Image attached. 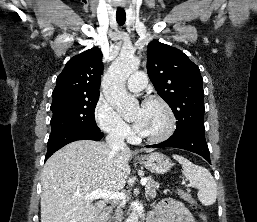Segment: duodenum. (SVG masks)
I'll return each mask as SVG.
<instances>
[{
  "instance_id": "1",
  "label": "duodenum",
  "mask_w": 257,
  "mask_h": 222,
  "mask_svg": "<svg viewBox=\"0 0 257 222\" xmlns=\"http://www.w3.org/2000/svg\"><path fill=\"white\" fill-rule=\"evenodd\" d=\"M109 213H110V207L107 206L103 209L100 216L97 219H95L94 222H107Z\"/></svg>"
}]
</instances>
